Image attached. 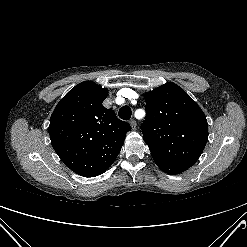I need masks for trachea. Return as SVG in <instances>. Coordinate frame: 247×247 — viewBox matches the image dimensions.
<instances>
[{"mask_svg":"<svg viewBox=\"0 0 247 247\" xmlns=\"http://www.w3.org/2000/svg\"><path fill=\"white\" fill-rule=\"evenodd\" d=\"M131 114L132 111L129 106H123L118 112V116L123 120H129L131 118Z\"/></svg>","mask_w":247,"mask_h":247,"instance_id":"trachea-1","label":"trachea"}]
</instances>
